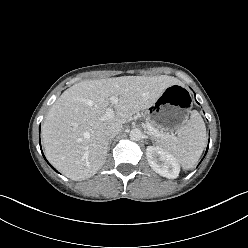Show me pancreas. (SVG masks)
I'll return each instance as SVG.
<instances>
[{
    "label": "pancreas",
    "mask_w": 248,
    "mask_h": 248,
    "mask_svg": "<svg viewBox=\"0 0 248 248\" xmlns=\"http://www.w3.org/2000/svg\"><path fill=\"white\" fill-rule=\"evenodd\" d=\"M148 124H149L150 126H152L155 130H157L159 133H162V134H163V131L160 130L159 128H157L154 124H152L151 122H148ZM153 136L157 137V136L154 135V134H153Z\"/></svg>",
    "instance_id": "1"
}]
</instances>
